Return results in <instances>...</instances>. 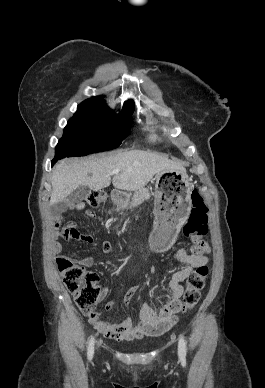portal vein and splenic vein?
Returning a JSON list of instances; mask_svg holds the SVG:
<instances>
[{"mask_svg":"<svg viewBox=\"0 0 265 388\" xmlns=\"http://www.w3.org/2000/svg\"><path fill=\"white\" fill-rule=\"evenodd\" d=\"M120 170H113V172H109V176H113V174H119Z\"/></svg>","mask_w":265,"mask_h":388,"instance_id":"obj_1","label":"portal vein and splenic vein"}]
</instances>
